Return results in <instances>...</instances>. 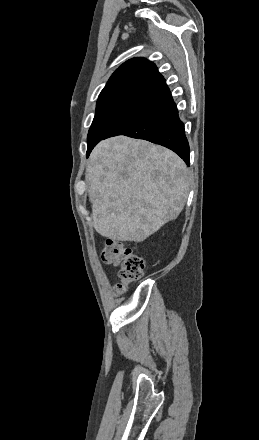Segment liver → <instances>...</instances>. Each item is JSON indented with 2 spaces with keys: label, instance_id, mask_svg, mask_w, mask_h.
Listing matches in <instances>:
<instances>
[{
  "label": "liver",
  "instance_id": "liver-1",
  "mask_svg": "<svg viewBox=\"0 0 259 440\" xmlns=\"http://www.w3.org/2000/svg\"><path fill=\"white\" fill-rule=\"evenodd\" d=\"M86 180L94 229L122 242H142L175 220L189 191V172L178 155L126 136L94 148Z\"/></svg>",
  "mask_w": 259,
  "mask_h": 440
}]
</instances>
